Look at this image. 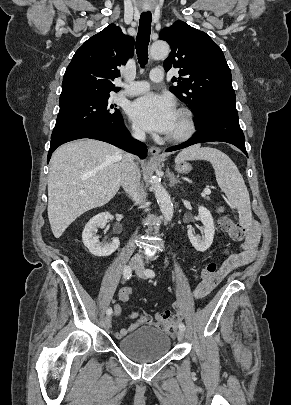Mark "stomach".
<instances>
[{
    "instance_id": "obj_1",
    "label": "stomach",
    "mask_w": 291,
    "mask_h": 405,
    "mask_svg": "<svg viewBox=\"0 0 291 405\" xmlns=\"http://www.w3.org/2000/svg\"><path fill=\"white\" fill-rule=\"evenodd\" d=\"M175 170L179 173L186 174L190 172L191 166L188 163L182 161L180 163H176Z\"/></svg>"
}]
</instances>
